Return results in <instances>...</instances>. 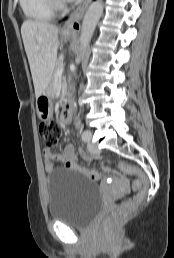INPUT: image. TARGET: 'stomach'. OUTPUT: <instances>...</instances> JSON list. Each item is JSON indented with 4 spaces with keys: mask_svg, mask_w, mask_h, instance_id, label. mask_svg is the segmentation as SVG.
Returning a JSON list of instances; mask_svg holds the SVG:
<instances>
[{
    "mask_svg": "<svg viewBox=\"0 0 174 258\" xmlns=\"http://www.w3.org/2000/svg\"><path fill=\"white\" fill-rule=\"evenodd\" d=\"M71 35L62 34L64 39H69ZM36 109L38 117L47 121L52 117L53 114V102L52 95L50 93V88H47L37 99H36Z\"/></svg>",
    "mask_w": 174,
    "mask_h": 258,
    "instance_id": "stomach-1",
    "label": "stomach"
}]
</instances>
